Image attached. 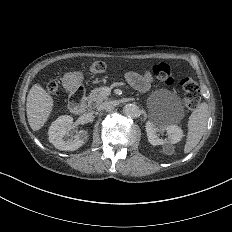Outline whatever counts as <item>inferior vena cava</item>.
I'll use <instances>...</instances> for the list:
<instances>
[{
  "mask_svg": "<svg viewBox=\"0 0 232 232\" xmlns=\"http://www.w3.org/2000/svg\"><path fill=\"white\" fill-rule=\"evenodd\" d=\"M117 105V101H106L98 106V110H110Z\"/></svg>",
  "mask_w": 232,
  "mask_h": 232,
  "instance_id": "obj_1",
  "label": "inferior vena cava"
}]
</instances>
